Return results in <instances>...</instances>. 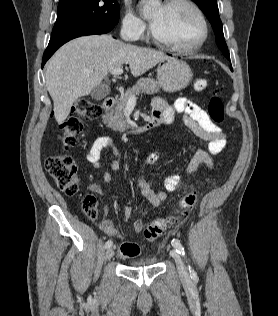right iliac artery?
Returning <instances> with one entry per match:
<instances>
[{
    "label": "right iliac artery",
    "instance_id": "82829eb1",
    "mask_svg": "<svg viewBox=\"0 0 278 316\" xmlns=\"http://www.w3.org/2000/svg\"><path fill=\"white\" fill-rule=\"evenodd\" d=\"M112 246V241L111 240H108L106 243H105V248H109Z\"/></svg>",
    "mask_w": 278,
    "mask_h": 316
}]
</instances>
